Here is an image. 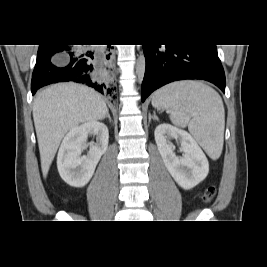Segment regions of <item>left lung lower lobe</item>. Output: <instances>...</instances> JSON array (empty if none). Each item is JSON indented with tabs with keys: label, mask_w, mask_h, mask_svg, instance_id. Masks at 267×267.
I'll return each instance as SVG.
<instances>
[{
	"label": "left lung lower lobe",
	"mask_w": 267,
	"mask_h": 267,
	"mask_svg": "<svg viewBox=\"0 0 267 267\" xmlns=\"http://www.w3.org/2000/svg\"><path fill=\"white\" fill-rule=\"evenodd\" d=\"M143 51L142 102L163 85L184 79L207 80L225 93V74L216 45H143Z\"/></svg>",
	"instance_id": "left-lung-lower-lobe-1"
}]
</instances>
